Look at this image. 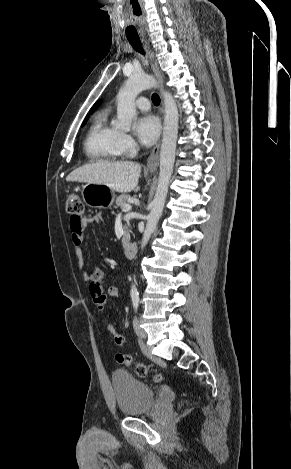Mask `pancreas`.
Wrapping results in <instances>:
<instances>
[{
  "mask_svg": "<svg viewBox=\"0 0 291 469\" xmlns=\"http://www.w3.org/2000/svg\"><path fill=\"white\" fill-rule=\"evenodd\" d=\"M131 199L130 195L127 194H122L117 197L116 199V205L118 207L124 208V206L127 204V202ZM129 240V233L127 230V227L125 228L124 236L122 239L123 244H125Z\"/></svg>",
  "mask_w": 291,
  "mask_h": 469,
  "instance_id": "1",
  "label": "pancreas"
}]
</instances>
